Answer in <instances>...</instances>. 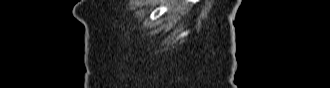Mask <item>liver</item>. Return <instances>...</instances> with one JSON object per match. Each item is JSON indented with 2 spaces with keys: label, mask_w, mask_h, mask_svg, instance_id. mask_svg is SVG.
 Returning <instances> with one entry per match:
<instances>
[{
  "label": "liver",
  "mask_w": 330,
  "mask_h": 88,
  "mask_svg": "<svg viewBox=\"0 0 330 88\" xmlns=\"http://www.w3.org/2000/svg\"><path fill=\"white\" fill-rule=\"evenodd\" d=\"M182 10V8H179V9H175V11L174 12H180Z\"/></svg>",
  "instance_id": "1"
}]
</instances>
